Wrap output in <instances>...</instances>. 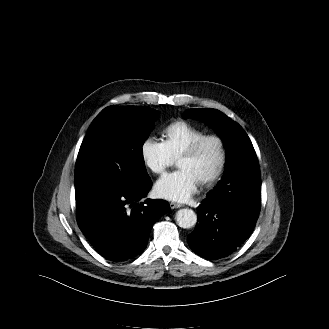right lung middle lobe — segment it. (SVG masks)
<instances>
[{
  "label": "right lung middle lobe",
  "mask_w": 329,
  "mask_h": 329,
  "mask_svg": "<svg viewBox=\"0 0 329 329\" xmlns=\"http://www.w3.org/2000/svg\"><path fill=\"white\" fill-rule=\"evenodd\" d=\"M155 110L109 106L91 123L75 168V191L104 182L139 189L150 181L142 146L154 128Z\"/></svg>",
  "instance_id": "right-lung-middle-lobe-1"
}]
</instances>
